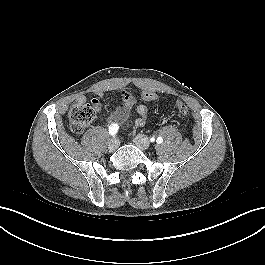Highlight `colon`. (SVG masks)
Masks as SVG:
<instances>
[{
	"instance_id": "1",
	"label": "colon",
	"mask_w": 265,
	"mask_h": 265,
	"mask_svg": "<svg viewBox=\"0 0 265 265\" xmlns=\"http://www.w3.org/2000/svg\"><path fill=\"white\" fill-rule=\"evenodd\" d=\"M141 99L146 102H151L157 99L155 92L145 90L141 94ZM176 108L181 115L188 113V106L178 101ZM98 107L94 101L87 103H80L73 106L69 112V125L72 132L79 134L93 121Z\"/></svg>"
}]
</instances>
